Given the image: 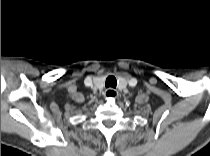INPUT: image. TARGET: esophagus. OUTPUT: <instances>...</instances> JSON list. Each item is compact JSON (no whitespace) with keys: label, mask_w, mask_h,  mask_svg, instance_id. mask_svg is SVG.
<instances>
[{"label":"esophagus","mask_w":210,"mask_h":156,"mask_svg":"<svg viewBox=\"0 0 210 156\" xmlns=\"http://www.w3.org/2000/svg\"><path fill=\"white\" fill-rule=\"evenodd\" d=\"M118 96V92L112 88H108L104 92V97L105 98H115Z\"/></svg>","instance_id":"34e87169"}]
</instances>
